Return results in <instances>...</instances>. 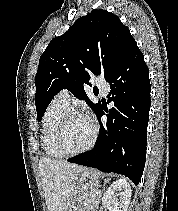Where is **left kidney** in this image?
<instances>
[{"label": "left kidney", "mask_w": 178, "mask_h": 211, "mask_svg": "<svg viewBox=\"0 0 178 211\" xmlns=\"http://www.w3.org/2000/svg\"><path fill=\"white\" fill-rule=\"evenodd\" d=\"M131 187L124 178L113 182L102 198V205L108 211H127L131 199Z\"/></svg>", "instance_id": "obj_1"}]
</instances>
